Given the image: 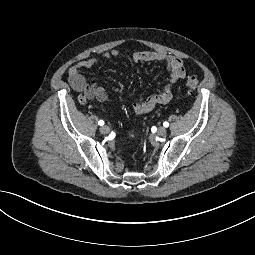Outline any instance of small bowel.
I'll list each match as a JSON object with an SVG mask.
<instances>
[{
  "label": "small bowel",
  "instance_id": "1",
  "mask_svg": "<svg viewBox=\"0 0 255 255\" xmlns=\"http://www.w3.org/2000/svg\"><path fill=\"white\" fill-rule=\"evenodd\" d=\"M118 56L119 51L113 49L110 52L104 53L101 57L87 58L72 65L68 70V81L70 86L76 91L86 90L90 99H96L97 101L104 103L107 100L106 91L102 87H98L95 83H88L86 78L81 74V71L83 69L91 68L101 59L108 60ZM132 59L137 63H163L169 70V78L159 92L143 101L135 103L133 105L134 112L136 114H145L152 111L157 105L168 104L172 99L173 87L186 77V67L183 61L177 56L159 51L136 52L132 55Z\"/></svg>",
  "mask_w": 255,
  "mask_h": 255
}]
</instances>
